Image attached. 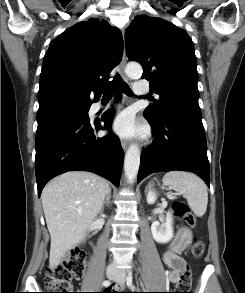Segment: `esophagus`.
<instances>
[{"label": "esophagus", "instance_id": "obj_1", "mask_svg": "<svg viewBox=\"0 0 245 293\" xmlns=\"http://www.w3.org/2000/svg\"><path fill=\"white\" fill-rule=\"evenodd\" d=\"M123 35V55H122V59L119 63V73L122 76L123 80L126 82H130V79L125 75V65H126V53H125V38H124V31L122 32ZM129 145V142L126 140H122L121 141V146L124 150L127 149Z\"/></svg>", "mask_w": 245, "mask_h": 293}]
</instances>
